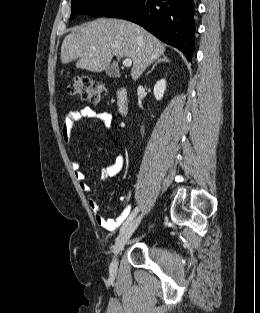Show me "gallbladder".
Segmentation results:
<instances>
[{
	"mask_svg": "<svg viewBox=\"0 0 260 313\" xmlns=\"http://www.w3.org/2000/svg\"><path fill=\"white\" fill-rule=\"evenodd\" d=\"M106 74L111 78H115L118 76L119 72L114 65H111L106 69Z\"/></svg>",
	"mask_w": 260,
	"mask_h": 313,
	"instance_id": "gallbladder-1",
	"label": "gallbladder"
}]
</instances>
